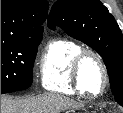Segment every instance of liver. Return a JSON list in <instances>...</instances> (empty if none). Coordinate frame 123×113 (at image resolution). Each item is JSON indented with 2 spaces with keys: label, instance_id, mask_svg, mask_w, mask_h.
Returning <instances> with one entry per match:
<instances>
[{
  "label": "liver",
  "instance_id": "6515ba94",
  "mask_svg": "<svg viewBox=\"0 0 123 113\" xmlns=\"http://www.w3.org/2000/svg\"><path fill=\"white\" fill-rule=\"evenodd\" d=\"M75 105L68 98L52 94L15 99L1 96V113H59Z\"/></svg>",
  "mask_w": 123,
  "mask_h": 113
}]
</instances>
